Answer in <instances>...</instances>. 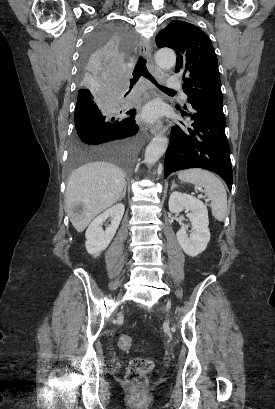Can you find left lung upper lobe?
<instances>
[{
	"mask_svg": "<svg viewBox=\"0 0 275 409\" xmlns=\"http://www.w3.org/2000/svg\"><path fill=\"white\" fill-rule=\"evenodd\" d=\"M156 44L175 50V72L182 74L183 90L190 104L223 107L217 57L201 29L184 21H172L157 34Z\"/></svg>",
	"mask_w": 275,
	"mask_h": 409,
	"instance_id": "left-lung-upper-lobe-1",
	"label": "left lung upper lobe"
}]
</instances>
